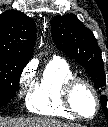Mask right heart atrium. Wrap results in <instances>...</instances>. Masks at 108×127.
Segmentation results:
<instances>
[{
    "mask_svg": "<svg viewBox=\"0 0 108 127\" xmlns=\"http://www.w3.org/2000/svg\"><path fill=\"white\" fill-rule=\"evenodd\" d=\"M34 76V67L32 64H28L25 66V68L22 70L20 76H19V89L20 94L24 95L27 91V88L29 87L32 79Z\"/></svg>",
    "mask_w": 108,
    "mask_h": 127,
    "instance_id": "1",
    "label": "right heart atrium"
}]
</instances>
